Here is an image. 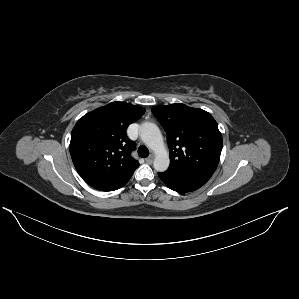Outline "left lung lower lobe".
Listing matches in <instances>:
<instances>
[{
	"instance_id": "1",
	"label": "left lung lower lobe",
	"mask_w": 299,
	"mask_h": 299,
	"mask_svg": "<svg viewBox=\"0 0 299 299\" xmlns=\"http://www.w3.org/2000/svg\"><path fill=\"white\" fill-rule=\"evenodd\" d=\"M160 179L165 183V185L178 192L186 193L199 189L203 186L208 180V177L202 176H187V177H177L169 174L158 173Z\"/></svg>"
}]
</instances>
